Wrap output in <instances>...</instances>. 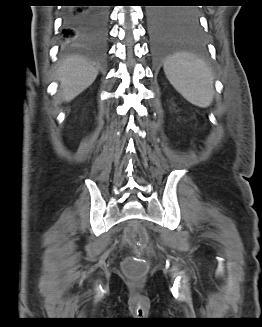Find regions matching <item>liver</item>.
I'll return each instance as SVG.
<instances>
[{
	"label": "liver",
	"instance_id": "1",
	"mask_svg": "<svg viewBox=\"0 0 262 327\" xmlns=\"http://www.w3.org/2000/svg\"><path fill=\"white\" fill-rule=\"evenodd\" d=\"M97 75L98 70L83 58L65 59L57 71L62 100L65 102L73 100L95 81Z\"/></svg>",
	"mask_w": 262,
	"mask_h": 327
}]
</instances>
